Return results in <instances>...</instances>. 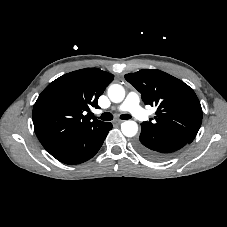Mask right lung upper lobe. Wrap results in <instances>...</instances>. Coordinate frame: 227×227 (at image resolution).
I'll return each instance as SVG.
<instances>
[{"mask_svg": "<svg viewBox=\"0 0 227 227\" xmlns=\"http://www.w3.org/2000/svg\"><path fill=\"white\" fill-rule=\"evenodd\" d=\"M113 78L98 68H85L57 78L42 91L32 117L35 133L48 152L104 123L85 112L99 108L98 98Z\"/></svg>", "mask_w": 227, "mask_h": 227, "instance_id": "cb5924a9", "label": "right lung upper lobe"}]
</instances>
